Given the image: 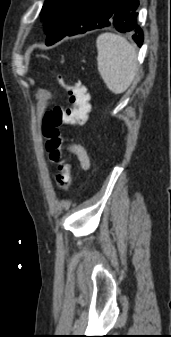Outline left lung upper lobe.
I'll return each instance as SVG.
<instances>
[{
	"label": "left lung upper lobe",
	"instance_id": "5c2ea615",
	"mask_svg": "<svg viewBox=\"0 0 171 337\" xmlns=\"http://www.w3.org/2000/svg\"><path fill=\"white\" fill-rule=\"evenodd\" d=\"M85 0H46L40 14L48 33L46 44L62 39L75 25Z\"/></svg>",
	"mask_w": 171,
	"mask_h": 337
}]
</instances>
